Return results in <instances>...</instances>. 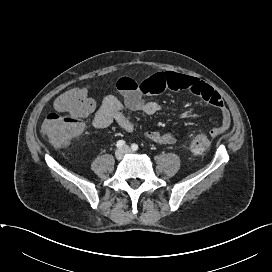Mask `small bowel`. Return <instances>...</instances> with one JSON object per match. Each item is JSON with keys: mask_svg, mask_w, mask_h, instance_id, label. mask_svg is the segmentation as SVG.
<instances>
[{"mask_svg": "<svg viewBox=\"0 0 272 272\" xmlns=\"http://www.w3.org/2000/svg\"><path fill=\"white\" fill-rule=\"evenodd\" d=\"M116 85L124 98V102L114 95L106 96L93 117L92 123L96 128L104 129L112 123H117L123 130L133 131V123L125 115L124 108L154 115L162 107L157 102L148 100L146 96L166 90L189 91L218 109L221 114V122L217 127L211 129L210 133L213 137L221 135L230 126V113L220 94L210 85L195 77L168 71L150 72L140 81L129 76H123L118 79ZM145 135L149 140L162 145H171L176 142L172 133L148 131Z\"/></svg>", "mask_w": 272, "mask_h": 272, "instance_id": "obj_1", "label": "small bowel"}]
</instances>
